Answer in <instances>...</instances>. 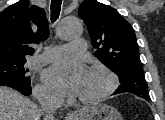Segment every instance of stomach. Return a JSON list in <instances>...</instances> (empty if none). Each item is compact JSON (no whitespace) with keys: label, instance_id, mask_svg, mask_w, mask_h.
I'll return each instance as SVG.
<instances>
[{"label":"stomach","instance_id":"1","mask_svg":"<svg viewBox=\"0 0 165 120\" xmlns=\"http://www.w3.org/2000/svg\"><path fill=\"white\" fill-rule=\"evenodd\" d=\"M74 120H122V117L114 107L96 104L84 107L75 115Z\"/></svg>","mask_w":165,"mask_h":120}]
</instances>
